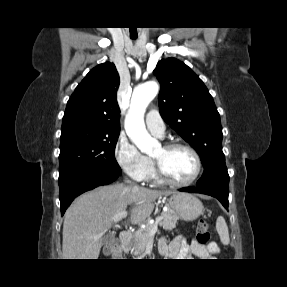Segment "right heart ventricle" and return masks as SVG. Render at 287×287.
<instances>
[{"label":"right heart ventricle","instance_id":"obj_1","mask_svg":"<svg viewBox=\"0 0 287 287\" xmlns=\"http://www.w3.org/2000/svg\"><path fill=\"white\" fill-rule=\"evenodd\" d=\"M145 181L152 182L153 184H162V181L159 179L153 161L151 158H148V171L145 177Z\"/></svg>","mask_w":287,"mask_h":287}]
</instances>
